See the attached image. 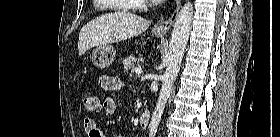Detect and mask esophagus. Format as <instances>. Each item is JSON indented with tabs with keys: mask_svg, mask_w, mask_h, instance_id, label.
<instances>
[{
	"mask_svg": "<svg viewBox=\"0 0 280 137\" xmlns=\"http://www.w3.org/2000/svg\"><path fill=\"white\" fill-rule=\"evenodd\" d=\"M175 5L176 8L171 17L168 20L159 22L154 26L153 30L155 33L165 34L173 26L181 7V0H176Z\"/></svg>",
	"mask_w": 280,
	"mask_h": 137,
	"instance_id": "obj_1",
	"label": "esophagus"
}]
</instances>
